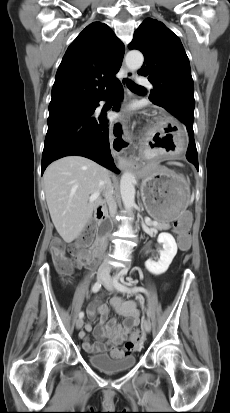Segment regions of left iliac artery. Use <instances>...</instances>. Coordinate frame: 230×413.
Here are the masks:
<instances>
[{"label": "left iliac artery", "mask_w": 230, "mask_h": 413, "mask_svg": "<svg viewBox=\"0 0 230 413\" xmlns=\"http://www.w3.org/2000/svg\"><path fill=\"white\" fill-rule=\"evenodd\" d=\"M124 274H125L124 272H121L113 278V283H114V286L117 290H119L120 292H123V293H130V294H136L138 292H142L144 294H147V291L143 287L129 288V287L125 286L124 284H121L119 282V278H122Z\"/></svg>", "instance_id": "1"}]
</instances>
